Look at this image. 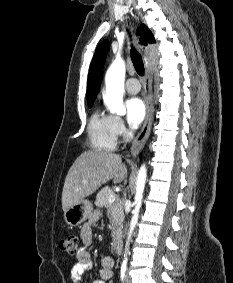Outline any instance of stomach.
I'll list each match as a JSON object with an SVG mask.
<instances>
[{
	"label": "stomach",
	"instance_id": "1",
	"mask_svg": "<svg viewBox=\"0 0 233 283\" xmlns=\"http://www.w3.org/2000/svg\"><path fill=\"white\" fill-rule=\"evenodd\" d=\"M92 210V203L82 200L64 212V220L70 226H78L88 218Z\"/></svg>",
	"mask_w": 233,
	"mask_h": 283
}]
</instances>
